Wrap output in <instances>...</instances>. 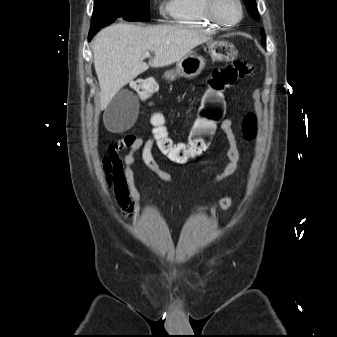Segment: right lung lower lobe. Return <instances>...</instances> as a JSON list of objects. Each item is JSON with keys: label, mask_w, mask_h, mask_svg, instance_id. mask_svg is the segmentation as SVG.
Returning a JSON list of instances; mask_svg holds the SVG:
<instances>
[{"label": "right lung lower lobe", "mask_w": 337, "mask_h": 337, "mask_svg": "<svg viewBox=\"0 0 337 337\" xmlns=\"http://www.w3.org/2000/svg\"><path fill=\"white\" fill-rule=\"evenodd\" d=\"M111 23H99V24H96L94 26L91 27L90 31H89V36H88V39L89 41L92 39V37L103 27L109 25Z\"/></svg>", "instance_id": "98d812e1"}]
</instances>
